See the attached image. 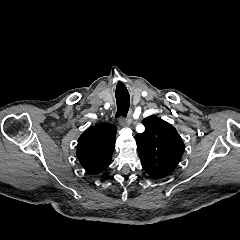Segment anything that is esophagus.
Segmentation results:
<instances>
[{"label": "esophagus", "instance_id": "1", "mask_svg": "<svg viewBox=\"0 0 240 240\" xmlns=\"http://www.w3.org/2000/svg\"><path fill=\"white\" fill-rule=\"evenodd\" d=\"M125 109L126 108H123V110H125ZM131 122H132V111H131V109H129V110H127V115L125 117V120L123 121V124L125 126H130Z\"/></svg>", "mask_w": 240, "mask_h": 240}]
</instances>
